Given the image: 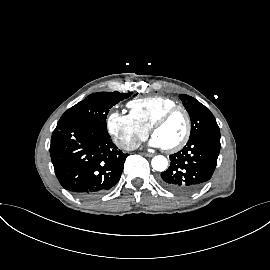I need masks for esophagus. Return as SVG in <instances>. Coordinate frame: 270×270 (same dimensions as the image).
<instances>
[{"mask_svg":"<svg viewBox=\"0 0 270 270\" xmlns=\"http://www.w3.org/2000/svg\"><path fill=\"white\" fill-rule=\"evenodd\" d=\"M144 155H145L146 157H152V156H154L152 153H144Z\"/></svg>","mask_w":270,"mask_h":270,"instance_id":"1","label":"esophagus"}]
</instances>
